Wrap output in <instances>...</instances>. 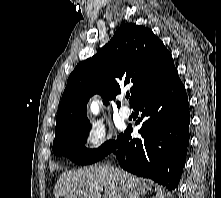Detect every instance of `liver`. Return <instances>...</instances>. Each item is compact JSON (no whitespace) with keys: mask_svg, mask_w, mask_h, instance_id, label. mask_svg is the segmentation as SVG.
Instances as JSON below:
<instances>
[{"mask_svg":"<svg viewBox=\"0 0 221 198\" xmlns=\"http://www.w3.org/2000/svg\"><path fill=\"white\" fill-rule=\"evenodd\" d=\"M117 171L122 173L132 184L137 195L146 193L149 185L144 179L136 177L122 169L104 166H89L64 172L54 189L56 198H125Z\"/></svg>","mask_w":221,"mask_h":198,"instance_id":"obj_1","label":"liver"}]
</instances>
